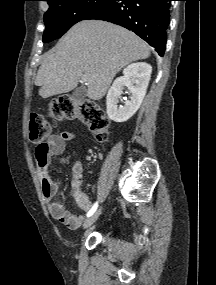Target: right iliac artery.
<instances>
[{"label": "right iliac artery", "instance_id": "obj_1", "mask_svg": "<svg viewBox=\"0 0 216 285\" xmlns=\"http://www.w3.org/2000/svg\"><path fill=\"white\" fill-rule=\"evenodd\" d=\"M97 207H98V202H96V203L92 206V208L89 210V212L87 213V217H90V216L96 211Z\"/></svg>", "mask_w": 216, "mask_h": 285}]
</instances>
